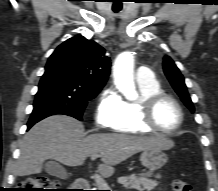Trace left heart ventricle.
Listing matches in <instances>:
<instances>
[{"mask_svg":"<svg viewBox=\"0 0 218 191\" xmlns=\"http://www.w3.org/2000/svg\"><path fill=\"white\" fill-rule=\"evenodd\" d=\"M154 117L157 125L162 129H173L179 123L178 109L169 100H162L158 103Z\"/></svg>","mask_w":218,"mask_h":191,"instance_id":"left-heart-ventricle-1","label":"left heart ventricle"}]
</instances>
